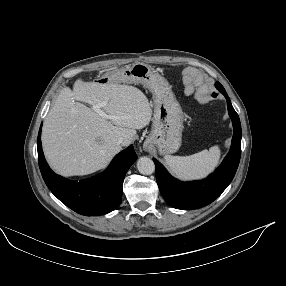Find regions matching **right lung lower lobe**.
Segmentation results:
<instances>
[{
  "instance_id": "98d812e1",
  "label": "right lung lower lobe",
  "mask_w": 286,
  "mask_h": 286,
  "mask_svg": "<svg viewBox=\"0 0 286 286\" xmlns=\"http://www.w3.org/2000/svg\"><path fill=\"white\" fill-rule=\"evenodd\" d=\"M41 127L37 140L38 161L42 177L50 191L70 209L85 216L104 215L119 206L124 177L137 159L133 146L117 154L99 176L85 181H71L49 168L42 151Z\"/></svg>"
}]
</instances>
